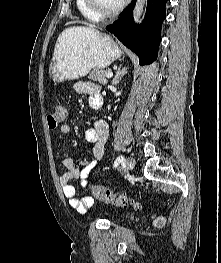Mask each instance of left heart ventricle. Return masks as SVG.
<instances>
[{
	"mask_svg": "<svg viewBox=\"0 0 221 263\" xmlns=\"http://www.w3.org/2000/svg\"><path fill=\"white\" fill-rule=\"evenodd\" d=\"M104 10H112L120 5L122 0H97Z\"/></svg>",
	"mask_w": 221,
	"mask_h": 263,
	"instance_id": "left-heart-ventricle-1",
	"label": "left heart ventricle"
}]
</instances>
